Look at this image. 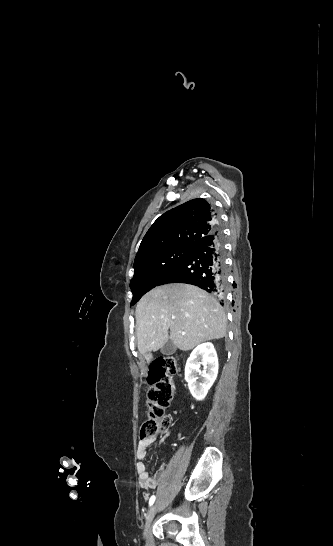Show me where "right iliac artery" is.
I'll use <instances>...</instances> for the list:
<instances>
[{
    "mask_svg": "<svg viewBox=\"0 0 333 546\" xmlns=\"http://www.w3.org/2000/svg\"><path fill=\"white\" fill-rule=\"evenodd\" d=\"M155 501V496H151L150 500H149V506H151Z\"/></svg>",
    "mask_w": 333,
    "mask_h": 546,
    "instance_id": "obj_1",
    "label": "right iliac artery"
}]
</instances>
